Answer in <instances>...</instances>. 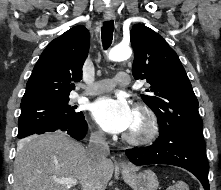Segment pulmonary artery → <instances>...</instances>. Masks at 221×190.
<instances>
[{
    "label": "pulmonary artery",
    "mask_w": 221,
    "mask_h": 190,
    "mask_svg": "<svg viewBox=\"0 0 221 190\" xmlns=\"http://www.w3.org/2000/svg\"><path fill=\"white\" fill-rule=\"evenodd\" d=\"M130 84V76L126 72H118L114 79H103L88 86L83 94L97 95L111 90L115 85L127 86Z\"/></svg>",
    "instance_id": "e3ab8cb5"
}]
</instances>
